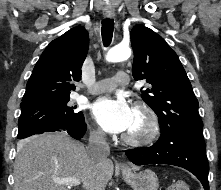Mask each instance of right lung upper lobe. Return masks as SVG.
<instances>
[{
  "instance_id": "obj_1",
  "label": "right lung upper lobe",
  "mask_w": 221,
  "mask_h": 190,
  "mask_svg": "<svg viewBox=\"0 0 221 190\" xmlns=\"http://www.w3.org/2000/svg\"><path fill=\"white\" fill-rule=\"evenodd\" d=\"M89 47L86 29L77 26L53 40L36 63L20 106L70 96L80 81Z\"/></svg>"
}]
</instances>
